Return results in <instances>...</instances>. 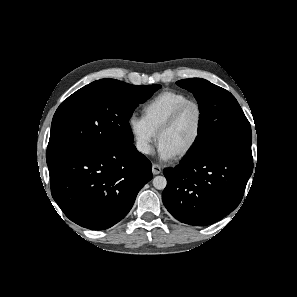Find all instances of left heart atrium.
Returning a JSON list of instances; mask_svg holds the SVG:
<instances>
[{
    "instance_id": "1",
    "label": "left heart atrium",
    "mask_w": 297,
    "mask_h": 297,
    "mask_svg": "<svg viewBox=\"0 0 297 297\" xmlns=\"http://www.w3.org/2000/svg\"><path fill=\"white\" fill-rule=\"evenodd\" d=\"M157 153L159 158L164 161L170 160L175 157V154L161 142L158 143Z\"/></svg>"
}]
</instances>
